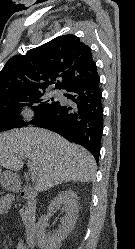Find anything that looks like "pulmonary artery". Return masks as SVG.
<instances>
[{
	"label": "pulmonary artery",
	"instance_id": "obj_1",
	"mask_svg": "<svg viewBox=\"0 0 135 249\" xmlns=\"http://www.w3.org/2000/svg\"><path fill=\"white\" fill-rule=\"evenodd\" d=\"M53 93H54L55 95H58V92H57V91H54Z\"/></svg>",
	"mask_w": 135,
	"mask_h": 249
}]
</instances>
